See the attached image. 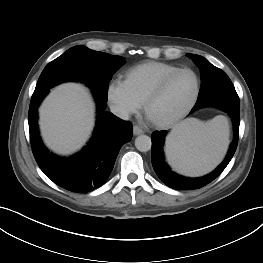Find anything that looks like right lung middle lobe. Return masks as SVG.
<instances>
[{
    "instance_id": "1",
    "label": "right lung middle lobe",
    "mask_w": 263,
    "mask_h": 263,
    "mask_svg": "<svg viewBox=\"0 0 263 263\" xmlns=\"http://www.w3.org/2000/svg\"><path fill=\"white\" fill-rule=\"evenodd\" d=\"M125 63L121 56L74 46L50 62L41 73L33 95L47 92L65 81L87 84L94 94L107 102L108 85L112 75Z\"/></svg>"
}]
</instances>
